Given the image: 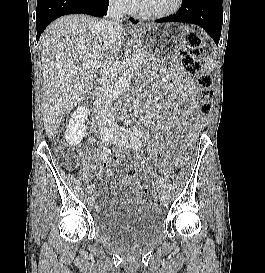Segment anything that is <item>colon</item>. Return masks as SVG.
Returning a JSON list of instances; mask_svg holds the SVG:
<instances>
[{
    "mask_svg": "<svg viewBox=\"0 0 265 273\" xmlns=\"http://www.w3.org/2000/svg\"><path fill=\"white\" fill-rule=\"evenodd\" d=\"M202 52V37L196 31H191L186 36L185 45L180 52L181 64L185 71L197 77V83L200 87L199 97L201 100L200 110L203 113H209L211 111L210 99L212 97L211 92V77L204 72L200 55ZM67 165L75 167L77 164V157L75 154H71L67 158ZM129 176L136 174V169L128 167L126 170ZM146 195L155 194V190L150 187L144 188Z\"/></svg>",
    "mask_w": 265,
    "mask_h": 273,
    "instance_id": "colon-1",
    "label": "colon"
}]
</instances>
